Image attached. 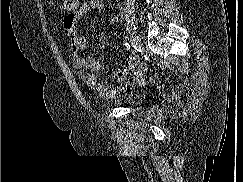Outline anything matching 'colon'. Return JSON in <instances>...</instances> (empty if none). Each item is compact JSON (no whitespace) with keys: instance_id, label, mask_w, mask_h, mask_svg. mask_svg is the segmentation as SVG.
I'll use <instances>...</instances> for the list:
<instances>
[{"instance_id":"obj_1","label":"colon","mask_w":243,"mask_h":182,"mask_svg":"<svg viewBox=\"0 0 243 182\" xmlns=\"http://www.w3.org/2000/svg\"><path fill=\"white\" fill-rule=\"evenodd\" d=\"M78 6V0H64L63 11L68 14L76 12Z\"/></svg>"}]
</instances>
